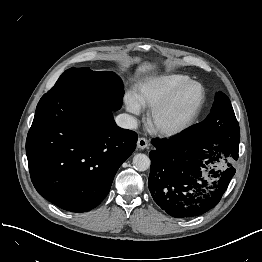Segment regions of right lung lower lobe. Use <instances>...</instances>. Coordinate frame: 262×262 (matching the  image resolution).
<instances>
[{
  "mask_svg": "<svg viewBox=\"0 0 262 262\" xmlns=\"http://www.w3.org/2000/svg\"><path fill=\"white\" fill-rule=\"evenodd\" d=\"M137 139L116 125L101 99L82 92L46 93L26 140L33 185L64 210L89 211L106 197Z\"/></svg>",
  "mask_w": 262,
  "mask_h": 262,
  "instance_id": "right-lung-lower-lobe-1",
  "label": "right lung lower lobe"
}]
</instances>
